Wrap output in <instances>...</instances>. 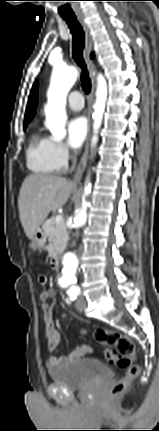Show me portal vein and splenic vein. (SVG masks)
<instances>
[{
	"instance_id": "18ae733b",
	"label": "portal vein and splenic vein",
	"mask_w": 159,
	"mask_h": 431,
	"mask_svg": "<svg viewBox=\"0 0 159 431\" xmlns=\"http://www.w3.org/2000/svg\"><path fill=\"white\" fill-rule=\"evenodd\" d=\"M55 221H56L57 224H59L60 222L63 221V217L61 215H57L56 218H55Z\"/></svg>"
}]
</instances>
